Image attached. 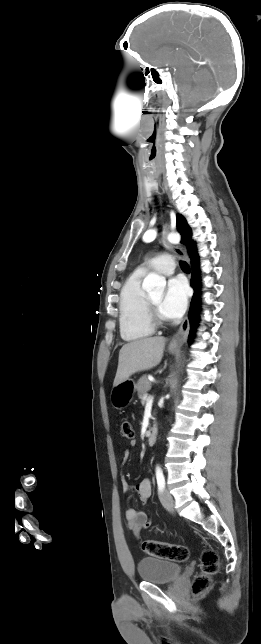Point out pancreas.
<instances>
[{"mask_svg":"<svg viewBox=\"0 0 261 644\" xmlns=\"http://www.w3.org/2000/svg\"><path fill=\"white\" fill-rule=\"evenodd\" d=\"M151 389V382L147 379L146 376H142L136 385V390L138 392V397L143 402V396Z\"/></svg>","mask_w":261,"mask_h":644,"instance_id":"cf45deb5","label":"pancreas"}]
</instances>
